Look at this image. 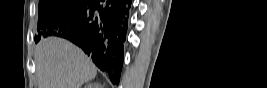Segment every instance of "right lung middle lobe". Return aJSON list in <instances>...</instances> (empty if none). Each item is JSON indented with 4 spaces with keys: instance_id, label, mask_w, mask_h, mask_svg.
Instances as JSON below:
<instances>
[{
    "instance_id": "right-lung-middle-lobe-1",
    "label": "right lung middle lobe",
    "mask_w": 267,
    "mask_h": 88,
    "mask_svg": "<svg viewBox=\"0 0 267 88\" xmlns=\"http://www.w3.org/2000/svg\"><path fill=\"white\" fill-rule=\"evenodd\" d=\"M87 1L88 0H40L37 27L40 34L35 37V42L47 36V30L50 25L60 19L69 17L76 10L84 6Z\"/></svg>"
}]
</instances>
